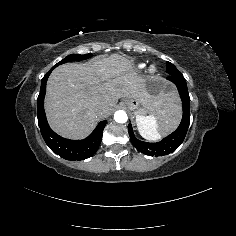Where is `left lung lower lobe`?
I'll return each instance as SVG.
<instances>
[{
  "label": "left lung lower lobe",
  "mask_w": 236,
  "mask_h": 236,
  "mask_svg": "<svg viewBox=\"0 0 236 236\" xmlns=\"http://www.w3.org/2000/svg\"><path fill=\"white\" fill-rule=\"evenodd\" d=\"M166 65L167 68H171L173 66L170 62H166ZM167 79L177 86L182 100L183 117L179 127L160 142L146 143L138 140L133 133L131 124L128 125V132L131 142L139 152L148 156H164L175 151L183 142L190 123V97L187 89V83L183 75L181 73H176L169 75Z\"/></svg>",
  "instance_id": "left-lung-lower-lobe-1"
}]
</instances>
